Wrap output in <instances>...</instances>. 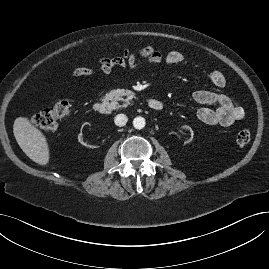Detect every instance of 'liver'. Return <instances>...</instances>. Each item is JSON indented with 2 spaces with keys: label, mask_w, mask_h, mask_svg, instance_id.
Segmentation results:
<instances>
[{
  "label": "liver",
  "mask_w": 269,
  "mask_h": 269,
  "mask_svg": "<svg viewBox=\"0 0 269 269\" xmlns=\"http://www.w3.org/2000/svg\"><path fill=\"white\" fill-rule=\"evenodd\" d=\"M14 137L23 152L35 163H49V145L45 135L26 117H17L13 124Z\"/></svg>",
  "instance_id": "liver-1"
}]
</instances>
